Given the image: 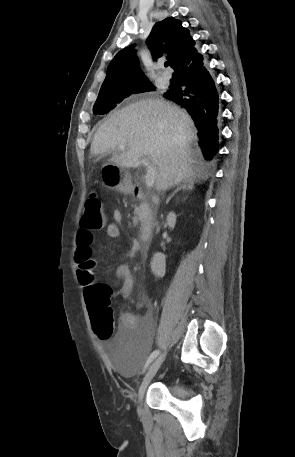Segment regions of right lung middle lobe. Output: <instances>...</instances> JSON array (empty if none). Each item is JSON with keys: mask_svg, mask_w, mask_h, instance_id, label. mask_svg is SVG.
Masks as SVG:
<instances>
[{"mask_svg": "<svg viewBox=\"0 0 295 457\" xmlns=\"http://www.w3.org/2000/svg\"><path fill=\"white\" fill-rule=\"evenodd\" d=\"M154 91V85L149 81H140L135 84L124 85L113 90L99 92L98 98L93 107L94 114H106L116 107L124 98L132 93Z\"/></svg>", "mask_w": 295, "mask_h": 457, "instance_id": "1", "label": "right lung middle lobe"}]
</instances>
